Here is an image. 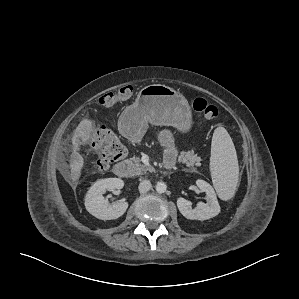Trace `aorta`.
<instances>
[{"label":"aorta","mask_w":299,"mask_h":299,"mask_svg":"<svg viewBox=\"0 0 299 299\" xmlns=\"http://www.w3.org/2000/svg\"><path fill=\"white\" fill-rule=\"evenodd\" d=\"M166 189H167V186L164 182H158L156 184V191L158 193H164L166 191Z\"/></svg>","instance_id":"obj_1"}]
</instances>
